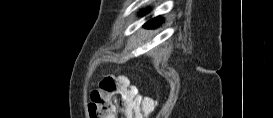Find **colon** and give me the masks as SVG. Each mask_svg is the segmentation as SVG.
Segmentation results:
<instances>
[{
	"instance_id": "5ec220e1",
	"label": "colon",
	"mask_w": 273,
	"mask_h": 118,
	"mask_svg": "<svg viewBox=\"0 0 273 118\" xmlns=\"http://www.w3.org/2000/svg\"><path fill=\"white\" fill-rule=\"evenodd\" d=\"M90 98V118H115L117 111L128 118H144L157 106L156 100L139 95L127 79L113 76L104 77Z\"/></svg>"
}]
</instances>
